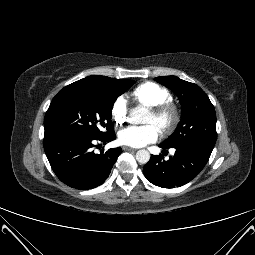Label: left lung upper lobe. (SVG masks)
<instances>
[{
  "label": "left lung upper lobe",
  "mask_w": 255,
  "mask_h": 255,
  "mask_svg": "<svg viewBox=\"0 0 255 255\" xmlns=\"http://www.w3.org/2000/svg\"><path fill=\"white\" fill-rule=\"evenodd\" d=\"M155 80L170 88L182 107L181 121L162 144L168 148L196 147L212 151L217 138L216 114L206 93L198 85L176 76Z\"/></svg>",
  "instance_id": "obj_1"
}]
</instances>
